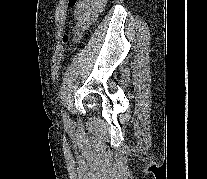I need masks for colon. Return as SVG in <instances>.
<instances>
[{
  "instance_id": "5ec220e1",
  "label": "colon",
  "mask_w": 207,
  "mask_h": 179,
  "mask_svg": "<svg viewBox=\"0 0 207 179\" xmlns=\"http://www.w3.org/2000/svg\"><path fill=\"white\" fill-rule=\"evenodd\" d=\"M77 2H78V0H68L67 1L69 7H73L74 5H76ZM62 41H63L64 44H67L68 41H69V36L67 34H65L62 37Z\"/></svg>"
}]
</instances>
